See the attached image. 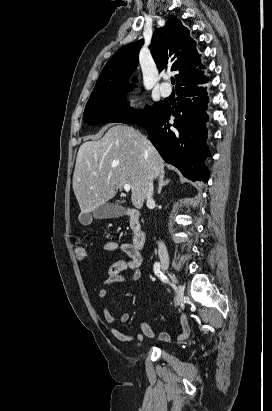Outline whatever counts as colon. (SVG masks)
<instances>
[{"label": "colon", "instance_id": "1", "mask_svg": "<svg viewBox=\"0 0 272 411\" xmlns=\"http://www.w3.org/2000/svg\"><path fill=\"white\" fill-rule=\"evenodd\" d=\"M75 255L77 257L78 260H85L87 257V250L85 249V247L78 245L75 248Z\"/></svg>", "mask_w": 272, "mask_h": 411}]
</instances>
